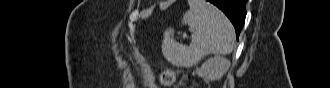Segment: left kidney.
<instances>
[{"label": "left kidney", "mask_w": 330, "mask_h": 88, "mask_svg": "<svg viewBox=\"0 0 330 88\" xmlns=\"http://www.w3.org/2000/svg\"><path fill=\"white\" fill-rule=\"evenodd\" d=\"M229 67L230 61L228 59L216 56L202 64L199 75L206 77L209 81H217L225 75Z\"/></svg>", "instance_id": "1"}]
</instances>
